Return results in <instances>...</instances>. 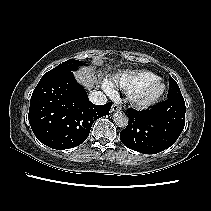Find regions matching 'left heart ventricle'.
I'll return each instance as SVG.
<instances>
[{
  "label": "left heart ventricle",
  "instance_id": "obj_1",
  "mask_svg": "<svg viewBox=\"0 0 211 211\" xmlns=\"http://www.w3.org/2000/svg\"><path fill=\"white\" fill-rule=\"evenodd\" d=\"M159 90V85H154L148 92L147 95L156 93Z\"/></svg>",
  "mask_w": 211,
  "mask_h": 211
}]
</instances>
